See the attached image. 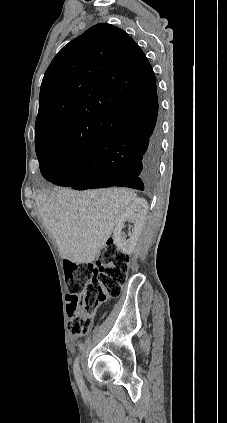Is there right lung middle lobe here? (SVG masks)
I'll use <instances>...</instances> for the list:
<instances>
[{"label": "right lung middle lobe", "instance_id": "right-lung-middle-lobe-1", "mask_svg": "<svg viewBox=\"0 0 227 423\" xmlns=\"http://www.w3.org/2000/svg\"><path fill=\"white\" fill-rule=\"evenodd\" d=\"M35 147L40 165L47 163L61 168L71 165L88 152V149L72 148L54 139L35 141Z\"/></svg>", "mask_w": 227, "mask_h": 423}]
</instances>
